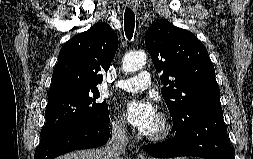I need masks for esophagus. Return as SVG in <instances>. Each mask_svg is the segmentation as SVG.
<instances>
[{
    "instance_id": "1",
    "label": "esophagus",
    "mask_w": 253,
    "mask_h": 159,
    "mask_svg": "<svg viewBox=\"0 0 253 159\" xmlns=\"http://www.w3.org/2000/svg\"><path fill=\"white\" fill-rule=\"evenodd\" d=\"M128 5L131 7L133 11H137L138 9V2L137 0H128ZM138 159H146L142 153L138 154Z\"/></svg>"
}]
</instances>
